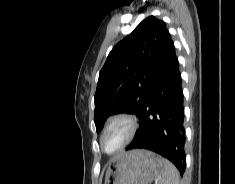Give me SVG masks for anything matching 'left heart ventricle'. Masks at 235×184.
I'll use <instances>...</instances> for the list:
<instances>
[{
  "label": "left heart ventricle",
  "mask_w": 235,
  "mask_h": 184,
  "mask_svg": "<svg viewBox=\"0 0 235 184\" xmlns=\"http://www.w3.org/2000/svg\"><path fill=\"white\" fill-rule=\"evenodd\" d=\"M127 133L125 122H118L105 132L102 138V148L106 153H115L121 146Z\"/></svg>",
  "instance_id": "1"
}]
</instances>
